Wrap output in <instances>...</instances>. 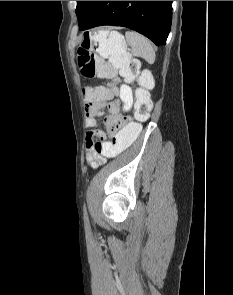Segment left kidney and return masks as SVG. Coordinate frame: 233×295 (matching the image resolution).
<instances>
[{"instance_id":"obj_1","label":"left kidney","mask_w":233,"mask_h":295,"mask_svg":"<svg viewBox=\"0 0 233 295\" xmlns=\"http://www.w3.org/2000/svg\"><path fill=\"white\" fill-rule=\"evenodd\" d=\"M138 84L146 89L152 90L155 86V80L149 70H143L141 76L138 78Z\"/></svg>"}]
</instances>
